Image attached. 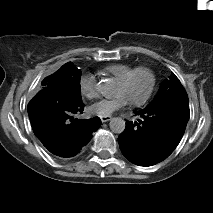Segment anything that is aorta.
<instances>
[{
	"mask_svg": "<svg viewBox=\"0 0 213 213\" xmlns=\"http://www.w3.org/2000/svg\"><path fill=\"white\" fill-rule=\"evenodd\" d=\"M99 88L101 93L106 98L113 97L114 94L113 79L103 80V83L99 85ZM125 126H126L125 121L121 117H113L110 119L109 127L113 133L117 134L122 133L125 130Z\"/></svg>",
	"mask_w": 213,
	"mask_h": 213,
	"instance_id": "aorta-1",
	"label": "aorta"
}]
</instances>
